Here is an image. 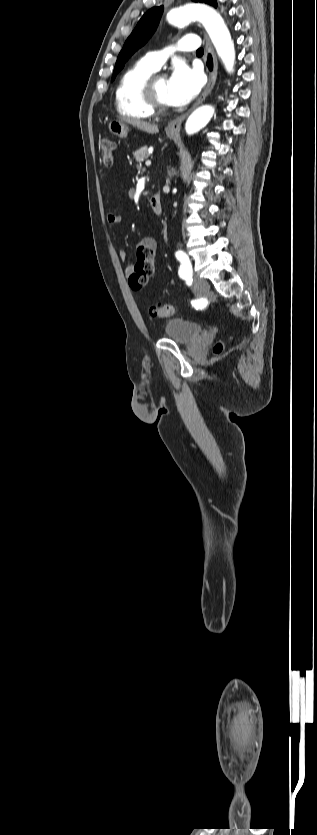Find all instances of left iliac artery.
<instances>
[{"label": "left iliac artery", "instance_id": "left-iliac-artery-1", "mask_svg": "<svg viewBox=\"0 0 317 835\" xmlns=\"http://www.w3.org/2000/svg\"><path fill=\"white\" fill-rule=\"evenodd\" d=\"M176 258L180 261L179 276L188 284L192 283V267L188 256L182 250L175 253Z\"/></svg>", "mask_w": 317, "mask_h": 835}]
</instances>
